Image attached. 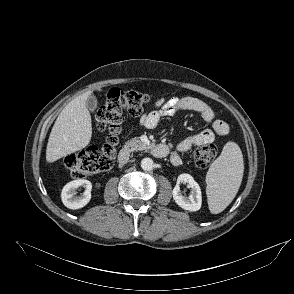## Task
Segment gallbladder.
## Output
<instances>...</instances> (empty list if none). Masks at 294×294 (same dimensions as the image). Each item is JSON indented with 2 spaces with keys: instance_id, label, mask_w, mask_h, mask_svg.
<instances>
[{
  "instance_id": "bac80fb5",
  "label": "gallbladder",
  "mask_w": 294,
  "mask_h": 294,
  "mask_svg": "<svg viewBox=\"0 0 294 294\" xmlns=\"http://www.w3.org/2000/svg\"><path fill=\"white\" fill-rule=\"evenodd\" d=\"M86 106L90 111H94L98 106V100L96 96L94 95L89 96L86 101Z\"/></svg>"
}]
</instances>
